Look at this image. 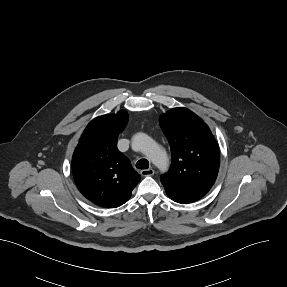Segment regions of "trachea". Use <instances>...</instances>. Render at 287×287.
<instances>
[{"label": "trachea", "instance_id": "1", "mask_svg": "<svg viewBox=\"0 0 287 287\" xmlns=\"http://www.w3.org/2000/svg\"><path fill=\"white\" fill-rule=\"evenodd\" d=\"M136 167L138 169H148L149 168V162L146 159H140L137 163H136Z\"/></svg>", "mask_w": 287, "mask_h": 287}]
</instances>
